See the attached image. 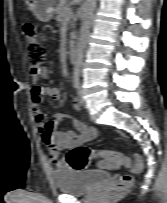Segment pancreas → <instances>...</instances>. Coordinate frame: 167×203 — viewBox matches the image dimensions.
I'll return each instance as SVG.
<instances>
[{
	"label": "pancreas",
	"instance_id": "1",
	"mask_svg": "<svg viewBox=\"0 0 167 203\" xmlns=\"http://www.w3.org/2000/svg\"><path fill=\"white\" fill-rule=\"evenodd\" d=\"M70 7L69 0H60L59 4L55 9L56 21L63 23L66 20L67 9Z\"/></svg>",
	"mask_w": 167,
	"mask_h": 203
}]
</instances>
